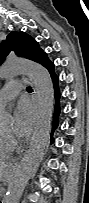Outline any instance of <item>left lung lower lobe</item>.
<instances>
[{
	"label": "left lung lower lobe",
	"instance_id": "0a47b994",
	"mask_svg": "<svg viewBox=\"0 0 89 203\" xmlns=\"http://www.w3.org/2000/svg\"><path fill=\"white\" fill-rule=\"evenodd\" d=\"M38 63L42 64L44 67H46L53 79V85H54V89H55V99H56V105H55V109H54V118H53V130H52V134L54 132V130L57 128L58 126V122H59V114H60V91H59V86H58V77L54 72V64L48 59V56L45 52H42ZM54 140L53 138H51V143H53Z\"/></svg>",
	"mask_w": 89,
	"mask_h": 203
}]
</instances>
